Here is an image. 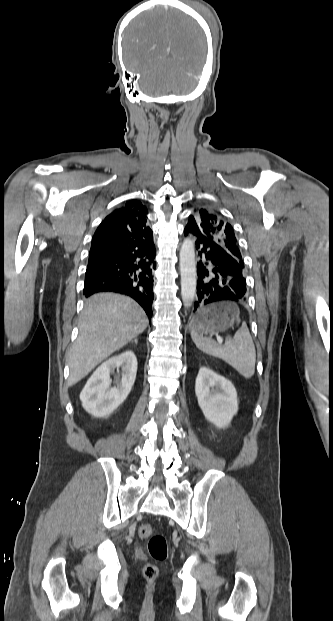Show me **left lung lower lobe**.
<instances>
[{"label": "left lung lower lobe", "instance_id": "obj_1", "mask_svg": "<svg viewBox=\"0 0 333 621\" xmlns=\"http://www.w3.org/2000/svg\"><path fill=\"white\" fill-rule=\"evenodd\" d=\"M184 234L199 250L197 264V301L195 310L217 301L246 302L244 267L214 240L197 229L185 227Z\"/></svg>", "mask_w": 333, "mask_h": 621}]
</instances>
